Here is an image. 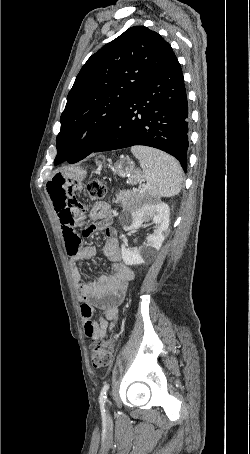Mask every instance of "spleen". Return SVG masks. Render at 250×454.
I'll use <instances>...</instances> for the list:
<instances>
[{"mask_svg": "<svg viewBox=\"0 0 250 454\" xmlns=\"http://www.w3.org/2000/svg\"><path fill=\"white\" fill-rule=\"evenodd\" d=\"M131 152L143 169V177L147 181V192L150 196L171 197L180 192L183 173L176 159L145 146H133Z\"/></svg>", "mask_w": 250, "mask_h": 454, "instance_id": "3e777b00", "label": "spleen"}]
</instances>
